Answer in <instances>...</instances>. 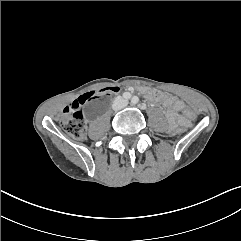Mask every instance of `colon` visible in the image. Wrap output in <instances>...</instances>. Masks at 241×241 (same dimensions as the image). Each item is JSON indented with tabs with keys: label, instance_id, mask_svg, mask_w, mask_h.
I'll use <instances>...</instances> for the list:
<instances>
[{
	"label": "colon",
	"instance_id": "colon-1",
	"mask_svg": "<svg viewBox=\"0 0 241 241\" xmlns=\"http://www.w3.org/2000/svg\"><path fill=\"white\" fill-rule=\"evenodd\" d=\"M116 90L117 87H106L97 91L85 93L80 96L77 103H74L71 107H68L65 110L64 115L60 121L61 128L74 139L85 138L87 126L84 120L83 113L78 108L79 105L83 104L85 101L91 98L108 95ZM183 115L186 119L189 120L195 117V113L189 108H186L183 111ZM169 134L171 136H183L185 134V129L183 127H180L179 125H174L169 129Z\"/></svg>",
	"mask_w": 241,
	"mask_h": 241
}]
</instances>
